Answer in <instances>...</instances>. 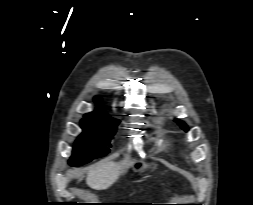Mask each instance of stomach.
<instances>
[{"instance_id":"1","label":"stomach","mask_w":253,"mask_h":205,"mask_svg":"<svg viewBox=\"0 0 253 205\" xmlns=\"http://www.w3.org/2000/svg\"><path fill=\"white\" fill-rule=\"evenodd\" d=\"M153 167H155L154 163H147L144 160H137L132 164V170L136 173L145 172Z\"/></svg>"}]
</instances>
